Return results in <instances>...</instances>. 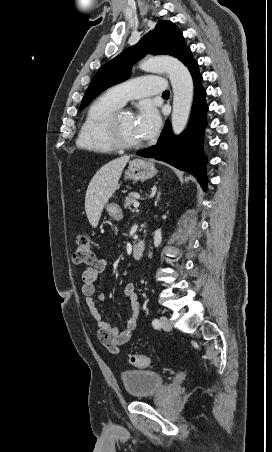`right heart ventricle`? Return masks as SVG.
I'll use <instances>...</instances> for the list:
<instances>
[{
    "label": "right heart ventricle",
    "instance_id": "right-heart-ventricle-1",
    "mask_svg": "<svg viewBox=\"0 0 272 452\" xmlns=\"http://www.w3.org/2000/svg\"><path fill=\"white\" fill-rule=\"evenodd\" d=\"M122 106L109 92L98 96L86 111L77 137V146L97 153L114 151L116 148L106 137L105 122L113 111Z\"/></svg>",
    "mask_w": 272,
    "mask_h": 452
}]
</instances>
